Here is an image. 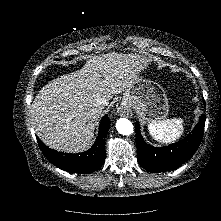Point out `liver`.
Listing matches in <instances>:
<instances>
[{"instance_id":"liver-1","label":"liver","mask_w":221,"mask_h":221,"mask_svg":"<svg viewBox=\"0 0 221 221\" xmlns=\"http://www.w3.org/2000/svg\"><path fill=\"white\" fill-rule=\"evenodd\" d=\"M147 66L143 56L111 52L92 56L82 69L50 81L30 108L38 137L58 151L87 149L104 109L97 98L109 102L114 95L125 92Z\"/></svg>"}]
</instances>
